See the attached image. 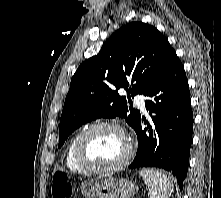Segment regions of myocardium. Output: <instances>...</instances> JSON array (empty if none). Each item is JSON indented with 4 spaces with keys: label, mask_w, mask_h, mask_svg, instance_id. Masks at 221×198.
Segmentation results:
<instances>
[{
    "label": "myocardium",
    "mask_w": 221,
    "mask_h": 198,
    "mask_svg": "<svg viewBox=\"0 0 221 198\" xmlns=\"http://www.w3.org/2000/svg\"><path fill=\"white\" fill-rule=\"evenodd\" d=\"M98 129H113L118 131L126 141V152L123 158L116 164L106 167L96 166L90 163L84 153V144L87 137L95 130ZM133 154V142L127 133V131L118 123L109 122V121H101L96 122L82 130L76 140L75 143V158L77 163L85 169L87 172L94 174H109L117 172L123 169L130 161Z\"/></svg>",
    "instance_id": "obj_1"
}]
</instances>
